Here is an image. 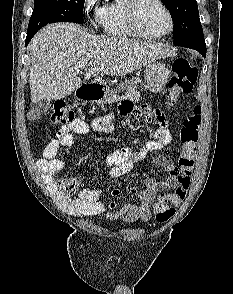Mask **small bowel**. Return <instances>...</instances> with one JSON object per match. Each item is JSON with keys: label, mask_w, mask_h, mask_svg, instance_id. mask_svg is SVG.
Segmentation results:
<instances>
[{"label": "small bowel", "mask_w": 233, "mask_h": 294, "mask_svg": "<svg viewBox=\"0 0 233 294\" xmlns=\"http://www.w3.org/2000/svg\"><path fill=\"white\" fill-rule=\"evenodd\" d=\"M149 107V103H137L136 108L130 101H123L119 105L121 115L141 117V122H151L156 125V128L151 133V139L140 150L133 151L130 148H122L105 156V163L112 177L118 178L128 173L135 163L143 160L149 153L160 151L171 144L172 136L164 113ZM113 129L111 115L96 117L91 123L82 119H75L69 125L62 126L58 130L56 138L45 147L43 158L38 160L39 169L48 178H53L61 172L64 161L57 155L60 147L64 148L65 154L69 152L74 143V133L79 135H85L90 131L109 133ZM153 163L167 173L166 179L159 181L149 177L144 180V188L142 189L133 186L128 187L126 191L134 194L139 199V203L126 204L113 211L108 210L114 209V203L106 205L102 200L103 193L101 190L83 188L75 197L71 198L60 191L59 183L52 182V187L58 203L68 214L79 217L104 214L108 218H121L129 222L148 221L152 217L151 207L156 194L166 189H174L178 185L180 173L179 168L162 154L155 155Z\"/></svg>", "instance_id": "small-bowel-1"}]
</instances>
